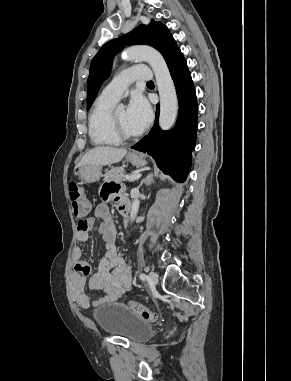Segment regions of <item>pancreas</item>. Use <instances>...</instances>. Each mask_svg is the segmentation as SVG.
Returning <instances> with one entry per match:
<instances>
[{"label":"pancreas","instance_id":"pancreas-1","mask_svg":"<svg viewBox=\"0 0 291 381\" xmlns=\"http://www.w3.org/2000/svg\"><path fill=\"white\" fill-rule=\"evenodd\" d=\"M124 174V168L123 167H115L109 171H107L104 175V181H116L121 182L127 180ZM128 181H134V180H128Z\"/></svg>","mask_w":291,"mask_h":381}]
</instances>
